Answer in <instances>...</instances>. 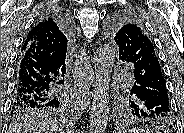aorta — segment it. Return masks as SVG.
I'll list each match as a JSON object with an SVG mask.
<instances>
[{"mask_svg": "<svg viewBox=\"0 0 184 133\" xmlns=\"http://www.w3.org/2000/svg\"><path fill=\"white\" fill-rule=\"evenodd\" d=\"M115 62V49L101 45L94 55L95 83L90 112V133H104L109 117V86Z\"/></svg>", "mask_w": 184, "mask_h": 133, "instance_id": "aorta-1", "label": "aorta"}]
</instances>
